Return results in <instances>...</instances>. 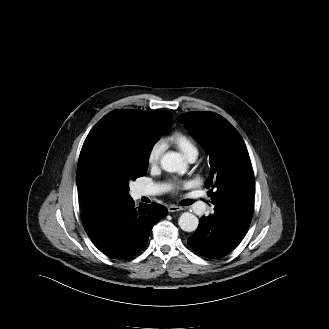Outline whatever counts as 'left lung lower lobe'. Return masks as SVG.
Returning <instances> with one entry per match:
<instances>
[{"instance_id": "1", "label": "left lung lower lobe", "mask_w": 329, "mask_h": 329, "mask_svg": "<svg viewBox=\"0 0 329 329\" xmlns=\"http://www.w3.org/2000/svg\"><path fill=\"white\" fill-rule=\"evenodd\" d=\"M214 214L202 217L188 239L193 250L207 258L231 252L248 231L253 212V185L224 204L215 203Z\"/></svg>"}]
</instances>
